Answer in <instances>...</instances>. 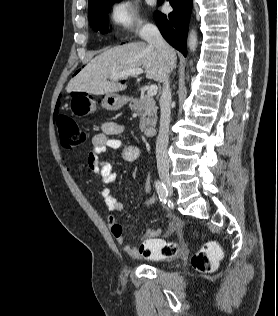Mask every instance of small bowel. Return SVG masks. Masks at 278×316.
Here are the masks:
<instances>
[{
    "label": "small bowel",
    "instance_id": "small-bowel-1",
    "mask_svg": "<svg viewBox=\"0 0 278 316\" xmlns=\"http://www.w3.org/2000/svg\"><path fill=\"white\" fill-rule=\"evenodd\" d=\"M123 131L124 126L122 124L113 121H105L101 125V132L94 135L92 138L93 149L87 156V166L103 184L113 182L117 178V173L113 170V167L109 162L100 158V155L106 153L109 149H112L120 150L121 157L127 162H135L140 158V149L137 146L124 145L120 139L114 137L121 134ZM145 190H151L149 175L147 176L145 182ZM101 196L104 199L107 209L111 212L107 218V222L117 243L123 247L124 251L128 255H141L139 248L126 243L124 228L117 222V217L114 214L115 212L122 211L123 204L111 194L110 189L107 187L102 189ZM155 203L156 198L152 196L145 202V206L149 207ZM140 219V216H138L136 221L139 222ZM180 225V220L175 219L174 226L179 228ZM161 233L162 230L159 228H148L145 231L144 236L151 240L160 236Z\"/></svg>",
    "mask_w": 278,
    "mask_h": 316
}]
</instances>
